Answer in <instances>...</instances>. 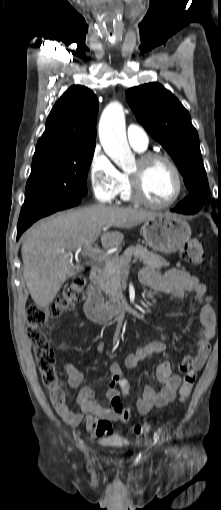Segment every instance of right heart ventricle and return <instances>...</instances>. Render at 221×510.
Segmentation results:
<instances>
[{"label":"right heart ventricle","mask_w":221,"mask_h":510,"mask_svg":"<svg viewBox=\"0 0 221 510\" xmlns=\"http://www.w3.org/2000/svg\"><path fill=\"white\" fill-rule=\"evenodd\" d=\"M138 152H144L145 150H138ZM122 175V186L120 189V195L124 200H131L130 191H129V183H128V175L126 173H121Z\"/></svg>","instance_id":"e07e8e85"}]
</instances>
